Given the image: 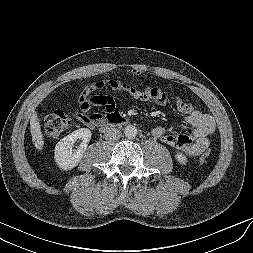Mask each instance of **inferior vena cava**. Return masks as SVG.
<instances>
[{
    "label": "inferior vena cava",
    "mask_w": 253,
    "mask_h": 253,
    "mask_svg": "<svg viewBox=\"0 0 253 253\" xmlns=\"http://www.w3.org/2000/svg\"><path fill=\"white\" fill-rule=\"evenodd\" d=\"M122 136V133L117 128H107L104 132V137L106 140L110 141H116L120 139Z\"/></svg>",
    "instance_id": "1"
}]
</instances>
